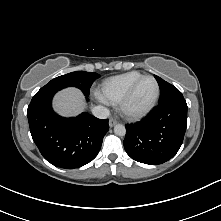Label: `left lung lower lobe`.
<instances>
[{"label": "left lung lower lobe", "mask_w": 221, "mask_h": 221, "mask_svg": "<svg viewBox=\"0 0 221 221\" xmlns=\"http://www.w3.org/2000/svg\"><path fill=\"white\" fill-rule=\"evenodd\" d=\"M186 127L185 99L161 103L139 123L126 125L124 148L138 162L162 164L178 152Z\"/></svg>", "instance_id": "1"}]
</instances>
